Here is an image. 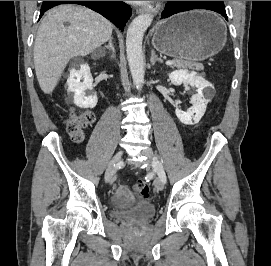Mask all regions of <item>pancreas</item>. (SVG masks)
I'll list each match as a JSON object with an SVG mask.
<instances>
[{
    "label": "pancreas",
    "mask_w": 271,
    "mask_h": 266,
    "mask_svg": "<svg viewBox=\"0 0 271 266\" xmlns=\"http://www.w3.org/2000/svg\"><path fill=\"white\" fill-rule=\"evenodd\" d=\"M174 67L177 68H191V69H195L197 71H202L204 69V66L200 63H196L193 61H183V60H174Z\"/></svg>",
    "instance_id": "1"
}]
</instances>
